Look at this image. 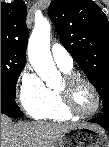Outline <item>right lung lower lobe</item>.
Wrapping results in <instances>:
<instances>
[{
    "label": "right lung lower lobe",
    "instance_id": "right-lung-lower-lobe-1",
    "mask_svg": "<svg viewBox=\"0 0 109 147\" xmlns=\"http://www.w3.org/2000/svg\"><path fill=\"white\" fill-rule=\"evenodd\" d=\"M1 114H5L10 117H21L23 115L20 109L15 108L7 101H4L2 98H1Z\"/></svg>",
    "mask_w": 109,
    "mask_h": 147
}]
</instances>
